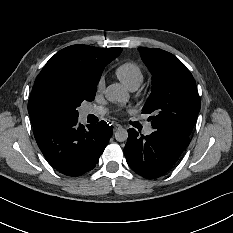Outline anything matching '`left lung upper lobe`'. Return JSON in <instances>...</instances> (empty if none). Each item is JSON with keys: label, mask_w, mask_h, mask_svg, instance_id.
I'll list each match as a JSON object with an SVG mask.
<instances>
[{"label": "left lung upper lobe", "mask_w": 233, "mask_h": 233, "mask_svg": "<svg viewBox=\"0 0 233 233\" xmlns=\"http://www.w3.org/2000/svg\"><path fill=\"white\" fill-rule=\"evenodd\" d=\"M152 74V92L142 113L151 114L155 131L189 137L200 111L195 79L173 54L152 48H138Z\"/></svg>", "instance_id": "1"}]
</instances>
